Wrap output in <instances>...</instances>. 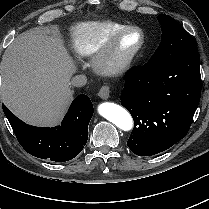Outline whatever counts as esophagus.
<instances>
[{"label":"esophagus","instance_id":"obj_1","mask_svg":"<svg viewBox=\"0 0 209 209\" xmlns=\"http://www.w3.org/2000/svg\"><path fill=\"white\" fill-rule=\"evenodd\" d=\"M98 95L101 99L107 100L110 97V87L107 85L102 86Z\"/></svg>","mask_w":209,"mask_h":209}]
</instances>
